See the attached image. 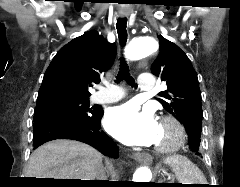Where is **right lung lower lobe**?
Listing matches in <instances>:
<instances>
[{
    "label": "right lung lower lobe",
    "instance_id": "98d812e1",
    "mask_svg": "<svg viewBox=\"0 0 240 187\" xmlns=\"http://www.w3.org/2000/svg\"><path fill=\"white\" fill-rule=\"evenodd\" d=\"M97 115L89 121H73L62 116H50L34 123V149L41 144L55 139H73L89 144L104 155L117 158L118 146L100 131V120L103 116L102 108H98ZM100 187H109V184H100Z\"/></svg>",
    "mask_w": 240,
    "mask_h": 187
}]
</instances>
